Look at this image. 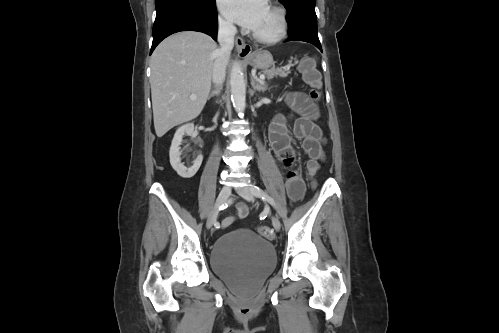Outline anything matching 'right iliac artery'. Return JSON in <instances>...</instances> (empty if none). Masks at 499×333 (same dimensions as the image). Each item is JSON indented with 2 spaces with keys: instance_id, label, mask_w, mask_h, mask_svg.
Listing matches in <instances>:
<instances>
[{
  "instance_id": "right-iliac-artery-1",
  "label": "right iliac artery",
  "mask_w": 499,
  "mask_h": 333,
  "mask_svg": "<svg viewBox=\"0 0 499 333\" xmlns=\"http://www.w3.org/2000/svg\"><path fill=\"white\" fill-rule=\"evenodd\" d=\"M231 202H232V200H231V199H230V200H228V202H227V203H225V205L223 204L222 206H220V208H219V209H224V208H226L229 204H231Z\"/></svg>"
}]
</instances>
